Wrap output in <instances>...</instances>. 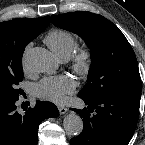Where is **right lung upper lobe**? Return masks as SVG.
I'll return each mask as SVG.
<instances>
[{"instance_id":"1","label":"right lung upper lobe","mask_w":145,"mask_h":145,"mask_svg":"<svg viewBox=\"0 0 145 145\" xmlns=\"http://www.w3.org/2000/svg\"><path fill=\"white\" fill-rule=\"evenodd\" d=\"M50 17L18 18L0 23V69L22 61L26 45L43 32Z\"/></svg>"}]
</instances>
